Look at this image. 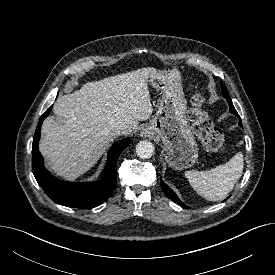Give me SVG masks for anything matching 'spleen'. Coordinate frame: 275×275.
<instances>
[{"instance_id":"1","label":"spleen","mask_w":275,"mask_h":275,"mask_svg":"<svg viewBox=\"0 0 275 275\" xmlns=\"http://www.w3.org/2000/svg\"><path fill=\"white\" fill-rule=\"evenodd\" d=\"M243 168V154L239 152L225 164L211 170L186 171L185 177L200 196L209 201H218L232 191L242 175Z\"/></svg>"}]
</instances>
